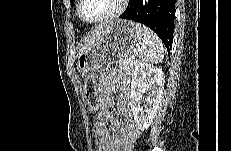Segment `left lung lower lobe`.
<instances>
[{"label":"left lung lower lobe","instance_id":"0a47b994","mask_svg":"<svg viewBox=\"0 0 231 151\" xmlns=\"http://www.w3.org/2000/svg\"><path fill=\"white\" fill-rule=\"evenodd\" d=\"M152 29L170 51L173 42L175 0H135L120 16Z\"/></svg>","mask_w":231,"mask_h":151}]
</instances>
